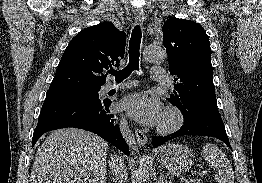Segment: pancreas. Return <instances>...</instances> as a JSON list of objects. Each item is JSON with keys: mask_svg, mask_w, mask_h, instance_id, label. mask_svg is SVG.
<instances>
[{"mask_svg": "<svg viewBox=\"0 0 262 183\" xmlns=\"http://www.w3.org/2000/svg\"><path fill=\"white\" fill-rule=\"evenodd\" d=\"M183 183H199V182L197 180H194V179H188V180L185 179V181H183Z\"/></svg>", "mask_w": 262, "mask_h": 183, "instance_id": "cf45deb5", "label": "pancreas"}]
</instances>
